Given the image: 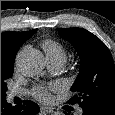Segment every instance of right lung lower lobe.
<instances>
[{
    "label": "right lung lower lobe",
    "mask_w": 115,
    "mask_h": 115,
    "mask_svg": "<svg viewBox=\"0 0 115 115\" xmlns=\"http://www.w3.org/2000/svg\"><path fill=\"white\" fill-rule=\"evenodd\" d=\"M38 112L39 106L32 101L24 100L22 105L14 107L6 98L1 99V115H35Z\"/></svg>",
    "instance_id": "obj_1"
}]
</instances>
